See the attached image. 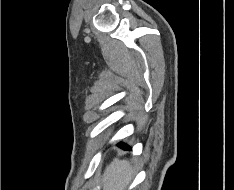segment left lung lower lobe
<instances>
[{"instance_id":"left-lung-lower-lobe-1","label":"left lung lower lobe","mask_w":234,"mask_h":190,"mask_svg":"<svg viewBox=\"0 0 234 190\" xmlns=\"http://www.w3.org/2000/svg\"><path fill=\"white\" fill-rule=\"evenodd\" d=\"M118 145L123 149H131L128 145H126L124 143H119Z\"/></svg>"}]
</instances>
